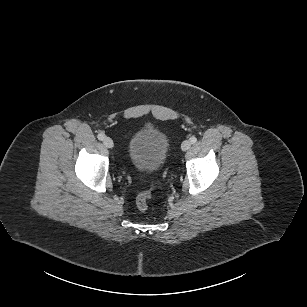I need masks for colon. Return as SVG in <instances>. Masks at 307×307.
I'll return each mask as SVG.
<instances>
[{"instance_id": "obj_1", "label": "colon", "mask_w": 307, "mask_h": 307, "mask_svg": "<svg viewBox=\"0 0 307 307\" xmlns=\"http://www.w3.org/2000/svg\"><path fill=\"white\" fill-rule=\"evenodd\" d=\"M150 193L149 192H143V193H140L137 197H136V200H135V205H136V208L143 212L145 210H147L148 208V205H149V200H150Z\"/></svg>"}]
</instances>
